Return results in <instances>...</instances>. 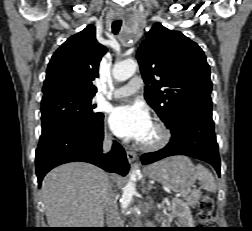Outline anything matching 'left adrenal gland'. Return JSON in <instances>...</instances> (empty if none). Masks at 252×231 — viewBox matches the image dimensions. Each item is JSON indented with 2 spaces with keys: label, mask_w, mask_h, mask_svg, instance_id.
<instances>
[{
  "label": "left adrenal gland",
  "mask_w": 252,
  "mask_h": 231,
  "mask_svg": "<svg viewBox=\"0 0 252 231\" xmlns=\"http://www.w3.org/2000/svg\"><path fill=\"white\" fill-rule=\"evenodd\" d=\"M152 188H153V186H152L150 183H148L145 192H148V191L151 190Z\"/></svg>",
  "instance_id": "1"
}]
</instances>
